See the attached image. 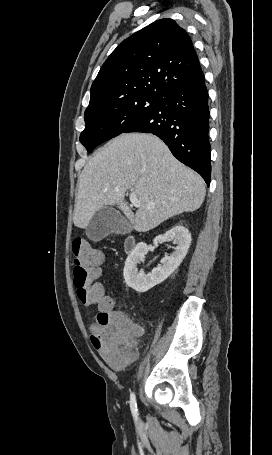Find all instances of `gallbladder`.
Listing matches in <instances>:
<instances>
[{
	"label": "gallbladder",
	"instance_id": "obj_1",
	"mask_svg": "<svg viewBox=\"0 0 272 455\" xmlns=\"http://www.w3.org/2000/svg\"><path fill=\"white\" fill-rule=\"evenodd\" d=\"M131 230L128 221L114 208H101L92 217L86 235L92 241H100L110 234H127Z\"/></svg>",
	"mask_w": 272,
	"mask_h": 455
}]
</instances>
